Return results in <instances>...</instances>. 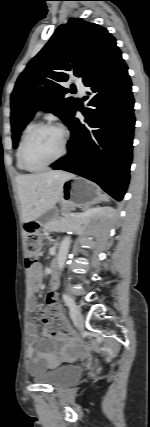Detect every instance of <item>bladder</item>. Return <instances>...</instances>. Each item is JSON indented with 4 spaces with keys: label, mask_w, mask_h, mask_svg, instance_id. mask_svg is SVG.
Here are the masks:
<instances>
[{
    "label": "bladder",
    "mask_w": 150,
    "mask_h": 427,
    "mask_svg": "<svg viewBox=\"0 0 150 427\" xmlns=\"http://www.w3.org/2000/svg\"><path fill=\"white\" fill-rule=\"evenodd\" d=\"M81 372L82 369L79 366L65 365L36 376L35 381L53 388H62L78 379Z\"/></svg>",
    "instance_id": "bladder-1"
}]
</instances>
